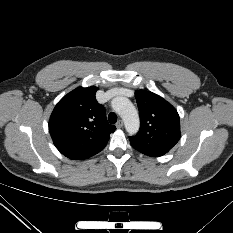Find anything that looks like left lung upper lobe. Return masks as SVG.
Here are the masks:
<instances>
[{"instance_id": "obj_1", "label": "left lung upper lobe", "mask_w": 233, "mask_h": 233, "mask_svg": "<svg viewBox=\"0 0 233 233\" xmlns=\"http://www.w3.org/2000/svg\"><path fill=\"white\" fill-rule=\"evenodd\" d=\"M135 97L140 130L129 138L130 143L153 157L162 156L180 139L178 112L165 99L150 91L138 90Z\"/></svg>"}]
</instances>
